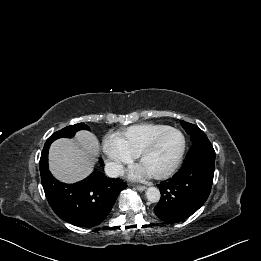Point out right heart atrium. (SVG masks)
Listing matches in <instances>:
<instances>
[{
    "label": "right heart atrium",
    "instance_id": "obj_1",
    "mask_svg": "<svg viewBox=\"0 0 261 261\" xmlns=\"http://www.w3.org/2000/svg\"><path fill=\"white\" fill-rule=\"evenodd\" d=\"M103 151L114 173H121L124 167L130 165L132 162V157L125 151L114 136L104 140Z\"/></svg>",
    "mask_w": 261,
    "mask_h": 261
}]
</instances>
